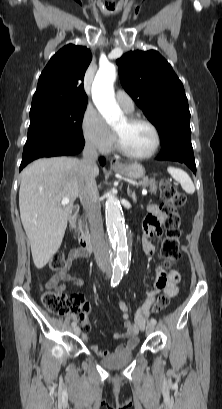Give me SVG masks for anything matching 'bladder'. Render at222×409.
I'll return each instance as SVG.
<instances>
[{
	"label": "bladder",
	"mask_w": 222,
	"mask_h": 409,
	"mask_svg": "<svg viewBox=\"0 0 222 409\" xmlns=\"http://www.w3.org/2000/svg\"><path fill=\"white\" fill-rule=\"evenodd\" d=\"M133 355L131 349L111 354L101 361V365L108 369H118L126 366Z\"/></svg>",
	"instance_id": "bladder-1"
}]
</instances>
